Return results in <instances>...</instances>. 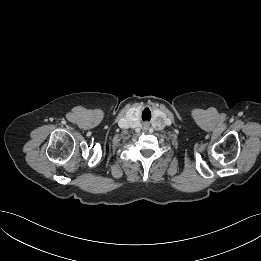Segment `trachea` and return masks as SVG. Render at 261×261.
I'll use <instances>...</instances> for the list:
<instances>
[{
  "label": "trachea",
  "instance_id": "obj_1",
  "mask_svg": "<svg viewBox=\"0 0 261 261\" xmlns=\"http://www.w3.org/2000/svg\"><path fill=\"white\" fill-rule=\"evenodd\" d=\"M150 118H151V116H148L147 118H145V114H143V116H142L143 120H150Z\"/></svg>",
  "mask_w": 261,
  "mask_h": 261
}]
</instances>
